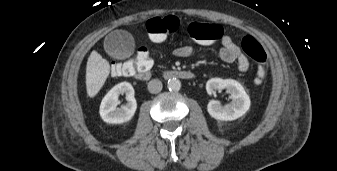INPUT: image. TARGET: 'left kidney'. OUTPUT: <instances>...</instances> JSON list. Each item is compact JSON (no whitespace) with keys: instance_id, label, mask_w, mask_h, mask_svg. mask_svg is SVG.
I'll return each instance as SVG.
<instances>
[{"instance_id":"obj_1","label":"left kidney","mask_w":337,"mask_h":171,"mask_svg":"<svg viewBox=\"0 0 337 171\" xmlns=\"http://www.w3.org/2000/svg\"><path fill=\"white\" fill-rule=\"evenodd\" d=\"M222 89H226L232 101L221 106L219 101L211 100L207 105L210 116L223 121H232L243 116L250 108V98L243 86L236 80L221 78H211L206 83V90L210 95Z\"/></svg>"}]
</instances>
